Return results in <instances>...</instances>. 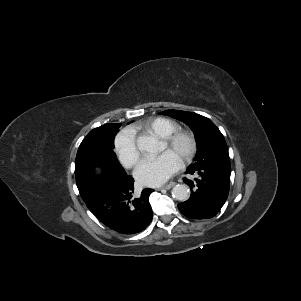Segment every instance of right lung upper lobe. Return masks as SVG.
<instances>
[{"label": "right lung upper lobe", "mask_w": 301, "mask_h": 301, "mask_svg": "<svg viewBox=\"0 0 301 301\" xmlns=\"http://www.w3.org/2000/svg\"><path fill=\"white\" fill-rule=\"evenodd\" d=\"M116 124H117V123H116ZM116 124H105V125H103L102 127H103V128H107V129H110V128L115 127ZM91 181H92V180H91ZM91 181H90V182H91ZM90 182H89V183H90Z\"/></svg>", "instance_id": "1"}]
</instances>
